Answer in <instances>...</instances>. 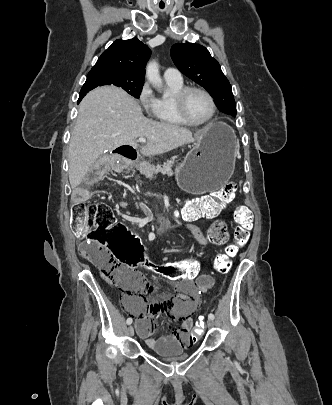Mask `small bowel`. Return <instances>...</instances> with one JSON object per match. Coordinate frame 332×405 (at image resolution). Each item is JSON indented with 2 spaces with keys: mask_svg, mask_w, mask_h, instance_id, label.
Masks as SVG:
<instances>
[{
  "mask_svg": "<svg viewBox=\"0 0 332 405\" xmlns=\"http://www.w3.org/2000/svg\"><path fill=\"white\" fill-rule=\"evenodd\" d=\"M139 168L142 171L151 169L148 162H141ZM102 180L101 172H84L82 177V186H99ZM191 213L193 220L200 217L199 214ZM212 217H214V214ZM222 227H227L223 219ZM137 224L140 222L136 221ZM213 224V223H212ZM210 227H213V225ZM189 230L195 236L200 244H207L205 232L194 225H188ZM218 245L224 243H215ZM188 266H199L196 263ZM151 271V270H149ZM214 285V278L208 274L194 275L193 281L177 282L178 289H168L167 297L169 302L158 303L153 295L156 286L147 281L141 273L133 271L130 267L121 269V289L129 295L123 300V307L133 317L136 318L135 325L139 336L145 341L146 345L153 350H160L161 353H189L191 345V329L193 328V319L191 314L198 310L201 305V298L197 297V292L206 293ZM160 313H168L173 317L182 320L180 325L170 330V335L154 339L151 335L157 328L155 316Z\"/></svg>",
  "mask_w": 332,
  "mask_h": 405,
  "instance_id": "c3829d8e",
  "label": "small bowel"
}]
</instances>
